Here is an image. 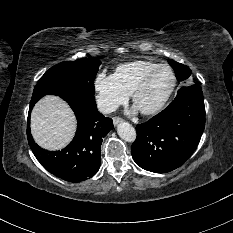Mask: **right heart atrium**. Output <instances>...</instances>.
<instances>
[{"label": "right heart atrium", "instance_id": "right-heart-atrium-1", "mask_svg": "<svg viewBox=\"0 0 233 233\" xmlns=\"http://www.w3.org/2000/svg\"><path fill=\"white\" fill-rule=\"evenodd\" d=\"M93 88L97 105L103 112L116 110L129 97V94L118 84L114 75L105 72L97 73Z\"/></svg>", "mask_w": 233, "mask_h": 233}]
</instances>
